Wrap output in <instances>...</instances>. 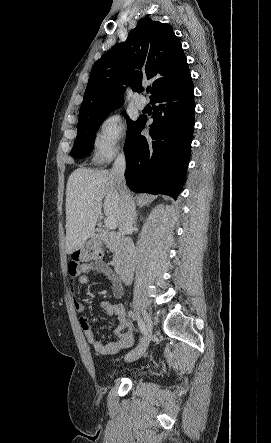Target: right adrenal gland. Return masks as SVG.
<instances>
[{"label": "right adrenal gland", "instance_id": "obj_1", "mask_svg": "<svg viewBox=\"0 0 271 443\" xmlns=\"http://www.w3.org/2000/svg\"><path fill=\"white\" fill-rule=\"evenodd\" d=\"M135 216H136L135 220H137V214H135Z\"/></svg>", "mask_w": 271, "mask_h": 443}]
</instances>
